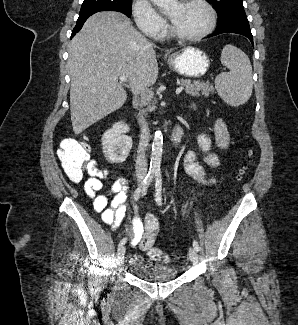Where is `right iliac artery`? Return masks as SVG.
Returning a JSON list of instances; mask_svg holds the SVG:
<instances>
[{"instance_id": "1", "label": "right iliac artery", "mask_w": 298, "mask_h": 325, "mask_svg": "<svg viewBox=\"0 0 298 325\" xmlns=\"http://www.w3.org/2000/svg\"><path fill=\"white\" fill-rule=\"evenodd\" d=\"M155 173L154 172H149L146 177L144 178V180L142 181L141 185L135 190L134 192V199L137 201L140 197L141 192H146V190L148 189L150 183L152 182L153 178H154ZM127 242V238H123L120 242H119V246L124 245Z\"/></svg>"}]
</instances>
